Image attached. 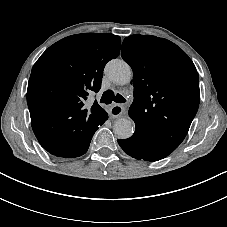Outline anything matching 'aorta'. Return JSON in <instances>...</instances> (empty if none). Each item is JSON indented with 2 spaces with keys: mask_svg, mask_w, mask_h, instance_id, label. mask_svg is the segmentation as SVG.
Masks as SVG:
<instances>
[{
  "mask_svg": "<svg viewBox=\"0 0 227 227\" xmlns=\"http://www.w3.org/2000/svg\"><path fill=\"white\" fill-rule=\"evenodd\" d=\"M105 73L112 82L119 85H125L131 81V68L124 60L109 61L105 67ZM134 126L132 119L120 118L115 121L113 130L119 138L127 139L132 136Z\"/></svg>",
  "mask_w": 227,
  "mask_h": 227,
  "instance_id": "1",
  "label": "aorta"
}]
</instances>
